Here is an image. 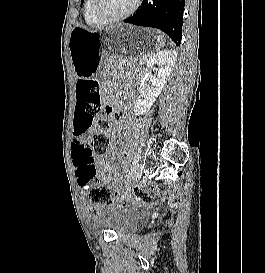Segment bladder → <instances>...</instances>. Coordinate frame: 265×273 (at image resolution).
I'll return each mask as SVG.
<instances>
[{
    "mask_svg": "<svg viewBox=\"0 0 265 273\" xmlns=\"http://www.w3.org/2000/svg\"><path fill=\"white\" fill-rule=\"evenodd\" d=\"M94 224L100 228H107L118 236L126 235L135 230L137 220L130 208H118L105 215L95 216Z\"/></svg>",
    "mask_w": 265,
    "mask_h": 273,
    "instance_id": "31cf9c89",
    "label": "bladder"
}]
</instances>
